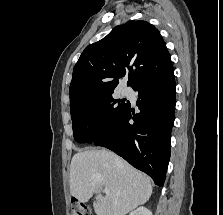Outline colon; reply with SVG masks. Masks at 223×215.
I'll list each match as a JSON object with an SVG mask.
<instances>
[{
  "instance_id": "obj_1",
  "label": "colon",
  "mask_w": 223,
  "mask_h": 215,
  "mask_svg": "<svg viewBox=\"0 0 223 215\" xmlns=\"http://www.w3.org/2000/svg\"><path fill=\"white\" fill-rule=\"evenodd\" d=\"M71 207H72L71 215H93L91 210L86 205L78 201H73Z\"/></svg>"
}]
</instances>
